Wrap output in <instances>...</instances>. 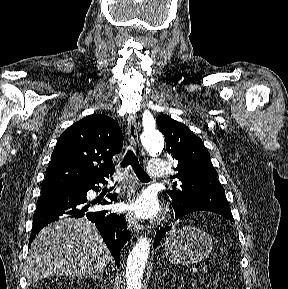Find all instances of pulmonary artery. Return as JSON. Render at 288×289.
Instances as JSON below:
<instances>
[{
	"mask_svg": "<svg viewBox=\"0 0 288 289\" xmlns=\"http://www.w3.org/2000/svg\"><path fill=\"white\" fill-rule=\"evenodd\" d=\"M167 164L160 159H152L147 164V174L152 178H163L166 176Z\"/></svg>",
	"mask_w": 288,
	"mask_h": 289,
	"instance_id": "pulmonary-artery-1",
	"label": "pulmonary artery"
}]
</instances>
